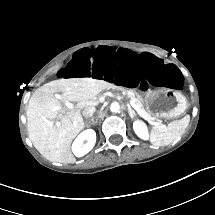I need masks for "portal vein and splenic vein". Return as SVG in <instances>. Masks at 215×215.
Returning a JSON list of instances; mask_svg holds the SVG:
<instances>
[{
    "instance_id": "18ae733b",
    "label": "portal vein and splenic vein",
    "mask_w": 215,
    "mask_h": 215,
    "mask_svg": "<svg viewBox=\"0 0 215 215\" xmlns=\"http://www.w3.org/2000/svg\"><path fill=\"white\" fill-rule=\"evenodd\" d=\"M129 102H130V106H132V107L138 112V114H139L140 116H142V117L145 118L146 114H145L144 111H142V110L140 109V107L138 106V104H136L135 101H133V100H130ZM68 108L70 109V112H72V111L75 109V105L70 104V105L68 106ZM48 123H50V122L48 121ZM56 126H60V122H57V123H56Z\"/></svg>"
}]
</instances>
